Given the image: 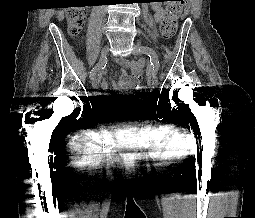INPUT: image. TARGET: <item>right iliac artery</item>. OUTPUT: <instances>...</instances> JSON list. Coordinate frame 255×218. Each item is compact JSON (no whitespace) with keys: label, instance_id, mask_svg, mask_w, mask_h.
I'll list each match as a JSON object with an SVG mask.
<instances>
[{"label":"right iliac artery","instance_id":"82829eb1","mask_svg":"<svg viewBox=\"0 0 255 218\" xmlns=\"http://www.w3.org/2000/svg\"><path fill=\"white\" fill-rule=\"evenodd\" d=\"M104 65V63L102 64V66ZM96 67H94L92 70H91V72H90V77L92 78L94 75H95V73H96Z\"/></svg>","mask_w":255,"mask_h":218}]
</instances>
